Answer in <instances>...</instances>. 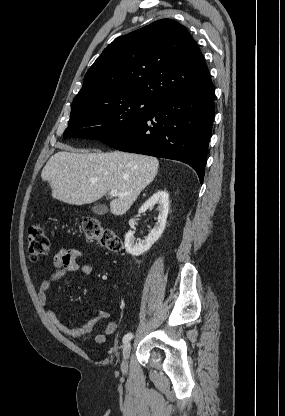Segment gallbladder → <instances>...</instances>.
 <instances>
[{
    "mask_svg": "<svg viewBox=\"0 0 285 416\" xmlns=\"http://www.w3.org/2000/svg\"><path fill=\"white\" fill-rule=\"evenodd\" d=\"M91 212L98 214V216H103V214H107L108 208L104 204H95V206H92Z\"/></svg>",
    "mask_w": 285,
    "mask_h": 416,
    "instance_id": "1",
    "label": "gallbladder"
}]
</instances>
